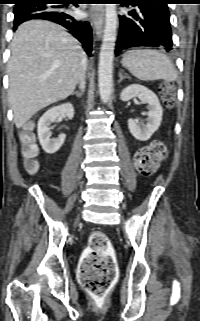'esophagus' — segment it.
I'll return each mask as SVG.
<instances>
[{
  "instance_id": "obj_1",
  "label": "esophagus",
  "mask_w": 200,
  "mask_h": 321,
  "mask_svg": "<svg viewBox=\"0 0 200 321\" xmlns=\"http://www.w3.org/2000/svg\"><path fill=\"white\" fill-rule=\"evenodd\" d=\"M104 25V8L101 5L92 7V26L98 39L102 37Z\"/></svg>"
}]
</instances>
